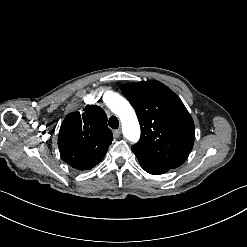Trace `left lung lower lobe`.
Returning a JSON list of instances; mask_svg holds the SVG:
<instances>
[{"label": "left lung lower lobe", "mask_w": 247, "mask_h": 247, "mask_svg": "<svg viewBox=\"0 0 247 247\" xmlns=\"http://www.w3.org/2000/svg\"><path fill=\"white\" fill-rule=\"evenodd\" d=\"M134 153H135L136 157L138 158L142 168L150 174H153V175L163 174V173H166L167 171H169L170 169H172L168 166H165L163 164H160L156 161L151 160L150 158H148L147 156H145L143 154H138L136 152H134Z\"/></svg>", "instance_id": "1"}]
</instances>
